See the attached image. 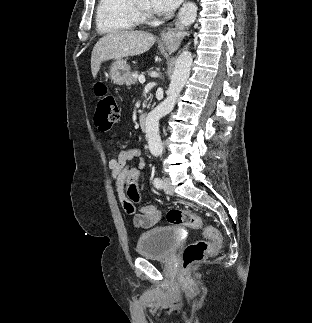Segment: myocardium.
<instances>
[{
  "label": "myocardium",
  "mask_w": 312,
  "mask_h": 323,
  "mask_svg": "<svg viewBox=\"0 0 312 323\" xmlns=\"http://www.w3.org/2000/svg\"><path fill=\"white\" fill-rule=\"evenodd\" d=\"M138 13H141V10H138ZM144 17H147V14H144Z\"/></svg>",
  "instance_id": "1"
}]
</instances>
